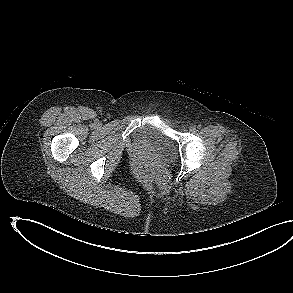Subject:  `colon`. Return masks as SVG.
I'll return each mask as SVG.
<instances>
[{"label":"colon","instance_id":"colon-1","mask_svg":"<svg viewBox=\"0 0 293 293\" xmlns=\"http://www.w3.org/2000/svg\"><path fill=\"white\" fill-rule=\"evenodd\" d=\"M140 174L144 181H150L154 176V171L150 166H145L141 169Z\"/></svg>","mask_w":293,"mask_h":293}]
</instances>
